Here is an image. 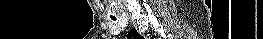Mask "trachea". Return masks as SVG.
Returning a JSON list of instances; mask_svg holds the SVG:
<instances>
[{
  "mask_svg": "<svg viewBox=\"0 0 263 39\" xmlns=\"http://www.w3.org/2000/svg\"><path fill=\"white\" fill-rule=\"evenodd\" d=\"M112 20H114V21H115V20H116V18H113V17H112Z\"/></svg>",
  "mask_w": 263,
  "mask_h": 39,
  "instance_id": "1",
  "label": "trachea"
}]
</instances>
